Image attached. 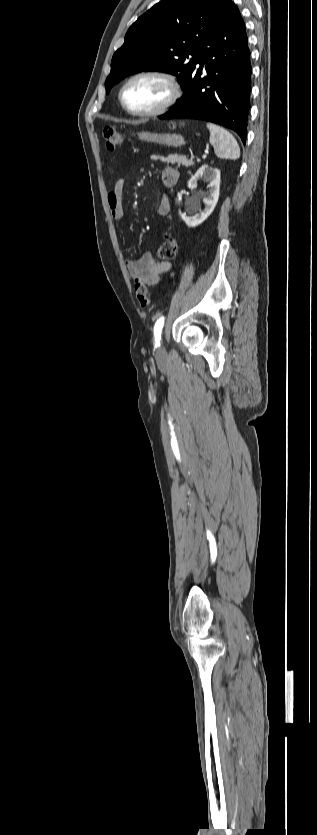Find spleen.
<instances>
[{
	"label": "spleen",
	"mask_w": 317,
	"mask_h": 835,
	"mask_svg": "<svg viewBox=\"0 0 317 835\" xmlns=\"http://www.w3.org/2000/svg\"><path fill=\"white\" fill-rule=\"evenodd\" d=\"M210 131V144L214 146L217 157L236 160L240 157V148L233 135L221 126L207 123Z\"/></svg>",
	"instance_id": "obj_1"
}]
</instances>
